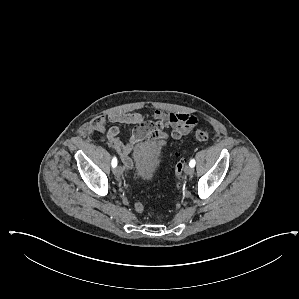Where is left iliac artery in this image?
Instances as JSON below:
<instances>
[{"label":"left iliac artery","mask_w":299,"mask_h":299,"mask_svg":"<svg viewBox=\"0 0 299 299\" xmlns=\"http://www.w3.org/2000/svg\"><path fill=\"white\" fill-rule=\"evenodd\" d=\"M196 164L195 160L194 159H191L190 162H189V166L190 167H194Z\"/></svg>","instance_id":"1"}]
</instances>
